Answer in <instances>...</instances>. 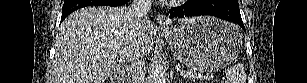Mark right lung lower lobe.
Returning <instances> with one entry per match:
<instances>
[{
    "instance_id": "obj_1",
    "label": "right lung lower lobe",
    "mask_w": 307,
    "mask_h": 83,
    "mask_svg": "<svg viewBox=\"0 0 307 83\" xmlns=\"http://www.w3.org/2000/svg\"><path fill=\"white\" fill-rule=\"evenodd\" d=\"M127 0H64L61 21L73 11L87 6H122Z\"/></svg>"
}]
</instances>
